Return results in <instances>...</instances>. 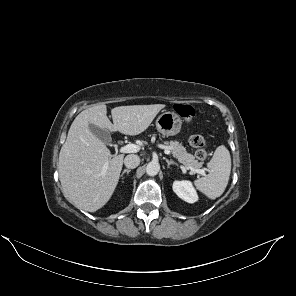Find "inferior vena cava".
Wrapping results in <instances>:
<instances>
[{
  "mask_svg": "<svg viewBox=\"0 0 296 296\" xmlns=\"http://www.w3.org/2000/svg\"><path fill=\"white\" fill-rule=\"evenodd\" d=\"M124 164L127 168L134 169L140 164V158L134 154L127 155L124 159Z\"/></svg>",
  "mask_w": 296,
  "mask_h": 296,
  "instance_id": "inferior-vena-cava-1",
  "label": "inferior vena cava"
}]
</instances>
